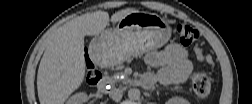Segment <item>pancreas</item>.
<instances>
[{"instance_id":"cf45deb5","label":"pancreas","mask_w":252,"mask_h":104,"mask_svg":"<svg viewBox=\"0 0 252 104\" xmlns=\"http://www.w3.org/2000/svg\"><path fill=\"white\" fill-rule=\"evenodd\" d=\"M124 75V78L122 79V81L123 82H128V80H129V77H128V75L127 74H123ZM115 81H116V79H115Z\"/></svg>"}]
</instances>
